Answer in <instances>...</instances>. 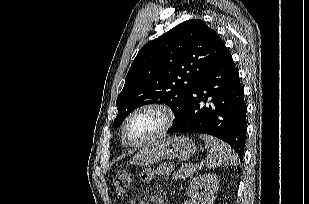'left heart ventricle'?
I'll return each instance as SVG.
<instances>
[{"instance_id":"b2bd125f","label":"left heart ventricle","mask_w":309,"mask_h":204,"mask_svg":"<svg viewBox=\"0 0 309 204\" xmlns=\"http://www.w3.org/2000/svg\"><path fill=\"white\" fill-rule=\"evenodd\" d=\"M162 115L148 110L133 116L126 127V136L131 141H140L157 131L162 125Z\"/></svg>"}]
</instances>
